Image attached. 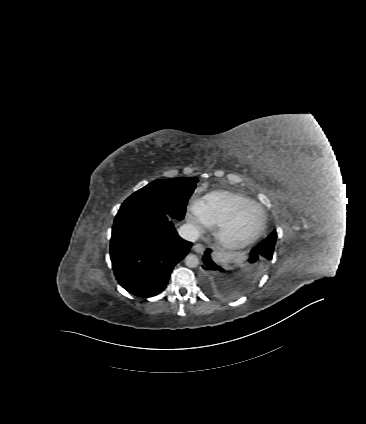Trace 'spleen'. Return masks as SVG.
<instances>
[{
    "label": "spleen",
    "instance_id": "1",
    "mask_svg": "<svg viewBox=\"0 0 366 424\" xmlns=\"http://www.w3.org/2000/svg\"><path fill=\"white\" fill-rule=\"evenodd\" d=\"M231 256H233V255H231V254H223L222 253V254L217 255L216 259L218 261H221L223 263H226Z\"/></svg>",
    "mask_w": 366,
    "mask_h": 424
}]
</instances>
